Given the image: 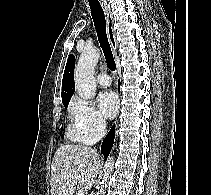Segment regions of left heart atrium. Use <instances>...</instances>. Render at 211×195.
<instances>
[{
	"mask_svg": "<svg viewBox=\"0 0 211 195\" xmlns=\"http://www.w3.org/2000/svg\"><path fill=\"white\" fill-rule=\"evenodd\" d=\"M98 107L106 118H112L118 111L119 102L115 93L105 91L99 94L97 98Z\"/></svg>",
	"mask_w": 211,
	"mask_h": 195,
	"instance_id": "39dd6f15",
	"label": "left heart atrium"
}]
</instances>
